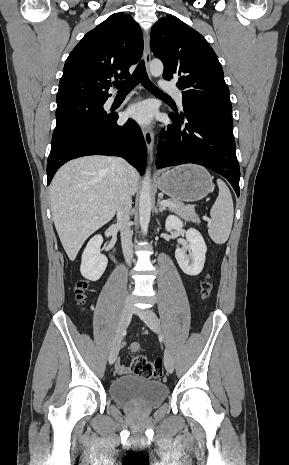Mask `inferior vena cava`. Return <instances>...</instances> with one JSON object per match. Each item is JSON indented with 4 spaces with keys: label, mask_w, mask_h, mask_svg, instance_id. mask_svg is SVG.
<instances>
[{
    "label": "inferior vena cava",
    "mask_w": 289,
    "mask_h": 465,
    "mask_svg": "<svg viewBox=\"0 0 289 465\" xmlns=\"http://www.w3.org/2000/svg\"><path fill=\"white\" fill-rule=\"evenodd\" d=\"M113 164L118 171L116 204L117 226L121 231V244L124 258L126 262L130 264L131 259L133 258V245L132 233L129 227L132 198L128 180L125 175V170L128 164L124 159L119 157L113 158Z\"/></svg>",
    "instance_id": "602c4592"
}]
</instances>
